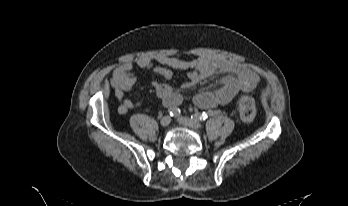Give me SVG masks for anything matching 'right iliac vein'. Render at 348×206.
I'll list each match as a JSON object with an SVG mask.
<instances>
[{"label": "right iliac vein", "mask_w": 348, "mask_h": 206, "mask_svg": "<svg viewBox=\"0 0 348 206\" xmlns=\"http://www.w3.org/2000/svg\"><path fill=\"white\" fill-rule=\"evenodd\" d=\"M171 122V118L169 116H164L161 120H160V125L162 127H167Z\"/></svg>", "instance_id": "right-iliac-vein-1"}]
</instances>
